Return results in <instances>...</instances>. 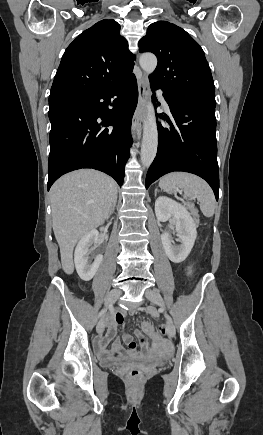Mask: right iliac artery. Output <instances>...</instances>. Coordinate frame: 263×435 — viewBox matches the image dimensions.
<instances>
[{
    "label": "right iliac artery",
    "instance_id": "right-iliac-artery-1",
    "mask_svg": "<svg viewBox=\"0 0 263 435\" xmlns=\"http://www.w3.org/2000/svg\"><path fill=\"white\" fill-rule=\"evenodd\" d=\"M106 312V309H102L99 313V317H101Z\"/></svg>",
    "mask_w": 263,
    "mask_h": 435
}]
</instances>
